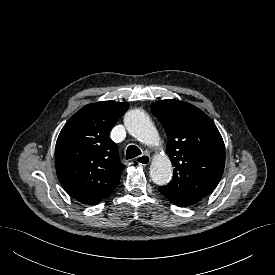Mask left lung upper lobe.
I'll return each mask as SVG.
<instances>
[{"label": "left lung upper lobe", "instance_id": "obj_1", "mask_svg": "<svg viewBox=\"0 0 275 275\" xmlns=\"http://www.w3.org/2000/svg\"><path fill=\"white\" fill-rule=\"evenodd\" d=\"M167 136V154L174 176L167 194L192 193L205 196L219 183L225 165V146L213 121L199 108L177 100H162L151 105Z\"/></svg>", "mask_w": 275, "mask_h": 275}]
</instances>
